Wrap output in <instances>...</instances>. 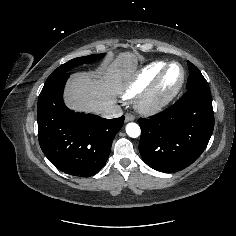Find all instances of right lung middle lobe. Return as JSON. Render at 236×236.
<instances>
[{
  "mask_svg": "<svg viewBox=\"0 0 236 236\" xmlns=\"http://www.w3.org/2000/svg\"><path fill=\"white\" fill-rule=\"evenodd\" d=\"M104 55L105 54H98V55H89V56L74 58V59L66 62L65 64H62L57 69H55L50 74V76L47 78L46 81L53 80V79L59 77L60 75L66 74L70 69H72L78 65L96 61V60L102 58Z\"/></svg>",
  "mask_w": 236,
  "mask_h": 236,
  "instance_id": "right-lung-middle-lobe-1",
  "label": "right lung middle lobe"
}]
</instances>
